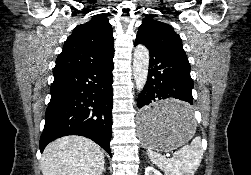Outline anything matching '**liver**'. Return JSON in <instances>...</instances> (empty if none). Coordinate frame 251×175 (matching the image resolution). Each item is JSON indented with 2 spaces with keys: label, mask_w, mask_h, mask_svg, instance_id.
Here are the masks:
<instances>
[{
  "label": "liver",
  "mask_w": 251,
  "mask_h": 175,
  "mask_svg": "<svg viewBox=\"0 0 251 175\" xmlns=\"http://www.w3.org/2000/svg\"><path fill=\"white\" fill-rule=\"evenodd\" d=\"M104 153L81 135H65L46 145L41 157L43 175H101Z\"/></svg>",
  "instance_id": "1"
}]
</instances>
